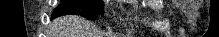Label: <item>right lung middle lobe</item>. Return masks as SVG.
Wrapping results in <instances>:
<instances>
[{
	"label": "right lung middle lobe",
	"mask_w": 219,
	"mask_h": 37,
	"mask_svg": "<svg viewBox=\"0 0 219 37\" xmlns=\"http://www.w3.org/2000/svg\"><path fill=\"white\" fill-rule=\"evenodd\" d=\"M103 8L101 1L75 0L64 2V0H62V3L59 4L58 8L53 11L52 18L72 14L92 19L97 15H103Z\"/></svg>",
	"instance_id": "1"
}]
</instances>
